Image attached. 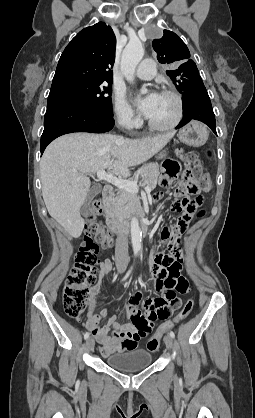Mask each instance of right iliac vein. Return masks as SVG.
Wrapping results in <instances>:
<instances>
[{"instance_id":"obj_1","label":"right iliac vein","mask_w":255,"mask_h":418,"mask_svg":"<svg viewBox=\"0 0 255 418\" xmlns=\"http://www.w3.org/2000/svg\"><path fill=\"white\" fill-rule=\"evenodd\" d=\"M120 272H122V269H120ZM94 345H95L94 339L92 337H89L86 340V348H87V350L90 351V352L93 351Z\"/></svg>"}]
</instances>
